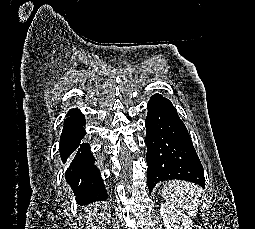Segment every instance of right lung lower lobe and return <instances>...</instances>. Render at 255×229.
<instances>
[{
	"label": "right lung lower lobe",
	"instance_id": "right-lung-lower-lobe-1",
	"mask_svg": "<svg viewBox=\"0 0 255 229\" xmlns=\"http://www.w3.org/2000/svg\"><path fill=\"white\" fill-rule=\"evenodd\" d=\"M68 116L64 121L59 147L63 163H68L66 181L73 189L79 204L104 200L107 191L98 168L94 165L95 158L89 144L82 141L85 135L84 115L80 110L72 109Z\"/></svg>",
	"mask_w": 255,
	"mask_h": 229
}]
</instances>
